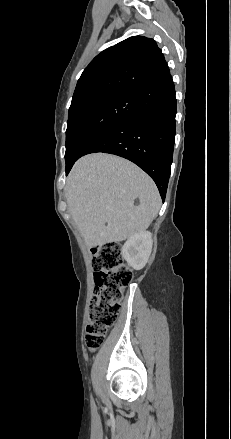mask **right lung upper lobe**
<instances>
[{
  "label": "right lung upper lobe",
  "instance_id": "cb5924a9",
  "mask_svg": "<svg viewBox=\"0 0 231 439\" xmlns=\"http://www.w3.org/2000/svg\"><path fill=\"white\" fill-rule=\"evenodd\" d=\"M170 74L153 39L133 36L101 52L78 80L70 109L92 98L135 93Z\"/></svg>",
  "mask_w": 231,
  "mask_h": 439
}]
</instances>
